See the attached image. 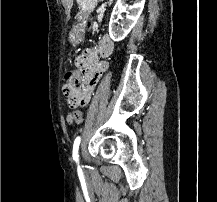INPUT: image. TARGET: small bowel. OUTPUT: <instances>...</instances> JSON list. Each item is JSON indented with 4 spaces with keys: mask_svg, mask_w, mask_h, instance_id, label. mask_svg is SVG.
Masks as SVG:
<instances>
[{
    "mask_svg": "<svg viewBox=\"0 0 217 202\" xmlns=\"http://www.w3.org/2000/svg\"><path fill=\"white\" fill-rule=\"evenodd\" d=\"M114 51V43L109 36H104L99 45L92 51L82 52L76 59V66L83 68L84 78L87 87L83 95H92L96 83L103 74L106 64L102 63L99 58H107Z\"/></svg>",
    "mask_w": 217,
    "mask_h": 202,
    "instance_id": "obj_1",
    "label": "small bowel"
}]
</instances>
